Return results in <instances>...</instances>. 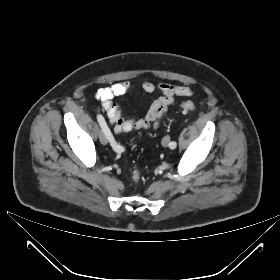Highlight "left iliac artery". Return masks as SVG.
Instances as JSON below:
<instances>
[{"label":"left iliac artery","mask_w":280,"mask_h":280,"mask_svg":"<svg viewBox=\"0 0 280 280\" xmlns=\"http://www.w3.org/2000/svg\"><path fill=\"white\" fill-rule=\"evenodd\" d=\"M176 146H177V143L175 141H172V142L169 143L170 149H175Z\"/></svg>","instance_id":"obj_1"}]
</instances>
